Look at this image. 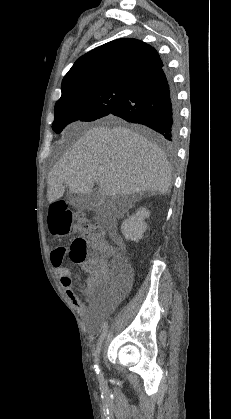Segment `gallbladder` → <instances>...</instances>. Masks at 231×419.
Segmentation results:
<instances>
[{"label": "gallbladder", "instance_id": "obj_1", "mask_svg": "<svg viewBox=\"0 0 231 419\" xmlns=\"http://www.w3.org/2000/svg\"><path fill=\"white\" fill-rule=\"evenodd\" d=\"M95 196H96V192H93L90 197H91V199H95ZM67 197H68L69 201L77 207L84 206L85 201L87 200V195H76V194H73V193H70V192L68 193Z\"/></svg>", "mask_w": 231, "mask_h": 419}]
</instances>
